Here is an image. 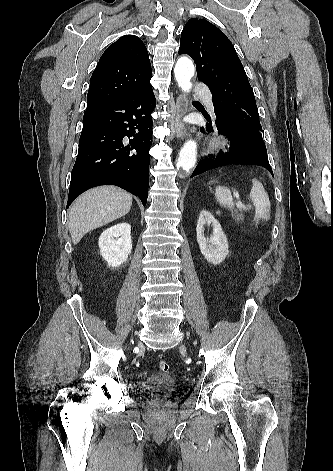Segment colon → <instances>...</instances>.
I'll list each match as a JSON object with an SVG mask.
<instances>
[{"mask_svg": "<svg viewBox=\"0 0 333 471\" xmlns=\"http://www.w3.org/2000/svg\"><path fill=\"white\" fill-rule=\"evenodd\" d=\"M158 368L161 372L168 373L169 369H170V366H169L168 362H166L164 360H161L158 364Z\"/></svg>", "mask_w": 333, "mask_h": 471, "instance_id": "1", "label": "colon"}]
</instances>
